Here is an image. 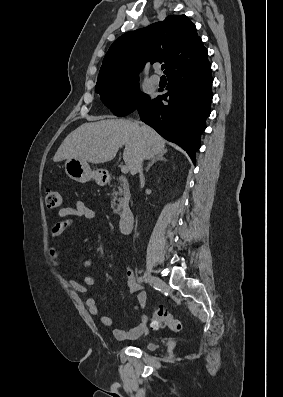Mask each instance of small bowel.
<instances>
[{"mask_svg": "<svg viewBox=\"0 0 283 397\" xmlns=\"http://www.w3.org/2000/svg\"><path fill=\"white\" fill-rule=\"evenodd\" d=\"M57 215L60 218L51 228V238H57L62 235L65 230L73 223L74 218H86L93 220L96 218V213L93 209L88 207L83 201L76 200L72 206L62 207L57 211ZM48 257L52 265L56 268L61 265V254L55 247L48 249ZM84 268H89L93 265L92 260L86 259L82 263ZM126 283L128 291L132 294H137V305L134 307L135 311L141 314V322L136 326L126 331L122 328H114L113 335L117 340H135L142 336L146 331L147 317L142 313L147 303V294L142 291V286L136 281L134 271L127 267L125 269ZM97 283L96 278L92 276H85L82 280L76 281L74 279L69 280L70 286L80 293H87L88 287L93 286ZM88 312L99 319V321L107 326L113 325V319L100 312L97 301L93 297H88L85 301Z\"/></svg>", "mask_w": 283, "mask_h": 397, "instance_id": "obj_1", "label": "small bowel"}]
</instances>
